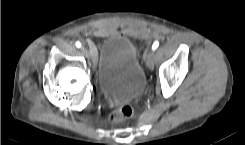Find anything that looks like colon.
Instances as JSON below:
<instances>
[{
    "label": "colon",
    "mask_w": 245,
    "mask_h": 145,
    "mask_svg": "<svg viewBox=\"0 0 245 145\" xmlns=\"http://www.w3.org/2000/svg\"><path fill=\"white\" fill-rule=\"evenodd\" d=\"M133 114V109L130 105H124L120 108H118L117 110H115L110 118L109 121L112 124H118V123H122L124 121H126L127 119H129Z\"/></svg>",
    "instance_id": "5ec220e1"
}]
</instances>
